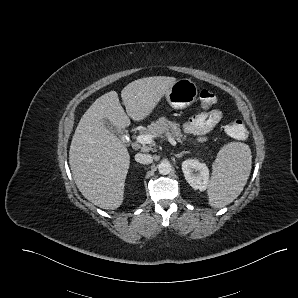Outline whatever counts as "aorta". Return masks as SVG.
<instances>
[{
  "instance_id": "762f6f07",
  "label": "aorta",
  "mask_w": 298,
  "mask_h": 298,
  "mask_svg": "<svg viewBox=\"0 0 298 298\" xmlns=\"http://www.w3.org/2000/svg\"><path fill=\"white\" fill-rule=\"evenodd\" d=\"M157 168H158V172L161 175H168L172 171V164L168 160H162L158 164V167Z\"/></svg>"
}]
</instances>
